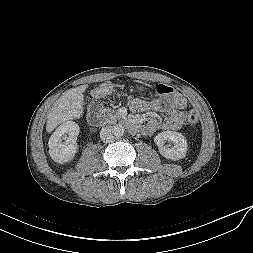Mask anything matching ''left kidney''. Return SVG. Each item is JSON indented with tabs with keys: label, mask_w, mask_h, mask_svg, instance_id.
Here are the masks:
<instances>
[{
	"label": "left kidney",
	"mask_w": 253,
	"mask_h": 253,
	"mask_svg": "<svg viewBox=\"0 0 253 253\" xmlns=\"http://www.w3.org/2000/svg\"><path fill=\"white\" fill-rule=\"evenodd\" d=\"M155 144L158 146L159 152L162 156L171 160H180L186 156L187 153V140L179 132L164 131L159 133L154 138ZM165 142L173 143L174 146L169 147Z\"/></svg>",
	"instance_id": "5707ae66"
}]
</instances>
